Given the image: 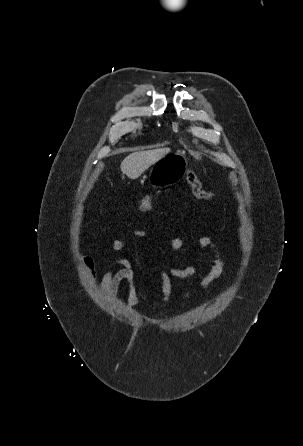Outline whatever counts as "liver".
<instances>
[{
  "label": "liver",
  "instance_id": "6515ba94",
  "mask_svg": "<svg viewBox=\"0 0 303 446\" xmlns=\"http://www.w3.org/2000/svg\"><path fill=\"white\" fill-rule=\"evenodd\" d=\"M170 149H155L147 151H135L129 154L121 162V171L130 179L138 178L152 164L163 158Z\"/></svg>",
  "mask_w": 303,
  "mask_h": 446
}]
</instances>
